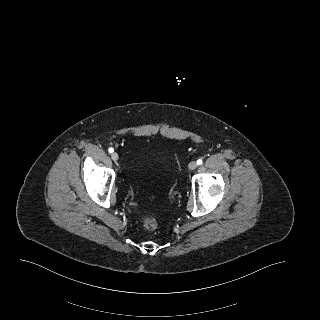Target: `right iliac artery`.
<instances>
[{
	"mask_svg": "<svg viewBox=\"0 0 320 320\" xmlns=\"http://www.w3.org/2000/svg\"><path fill=\"white\" fill-rule=\"evenodd\" d=\"M108 151H109L110 153H112L114 150H113V148H109Z\"/></svg>",
	"mask_w": 320,
	"mask_h": 320,
	"instance_id": "right-iliac-artery-1",
	"label": "right iliac artery"
}]
</instances>
